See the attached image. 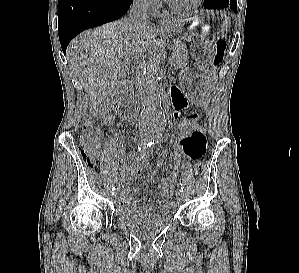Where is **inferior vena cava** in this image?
<instances>
[{"mask_svg":"<svg viewBox=\"0 0 299 273\" xmlns=\"http://www.w3.org/2000/svg\"><path fill=\"white\" fill-rule=\"evenodd\" d=\"M129 20L134 24H149L147 0H134L129 12Z\"/></svg>","mask_w":299,"mask_h":273,"instance_id":"602c4592","label":"inferior vena cava"}]
</instances>
